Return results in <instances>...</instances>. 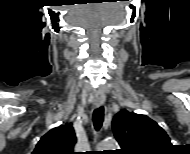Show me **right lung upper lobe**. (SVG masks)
<instances>
[{"instance_id": "cb5924a9", "label": "right lung upper lobe", "mask_w": 190, "mask_h": 154, "mask_svg": "<svg viewBox=\"0 0 190 154\" xmlns=\"http://www.w3.org/2000/svg\"><path fill=\"white\" fill-rule=\"evenodd\" d=\"M76 141L72 124L60 125L40 139L32 154H74Z\"/></svg>"}]
</instances>
